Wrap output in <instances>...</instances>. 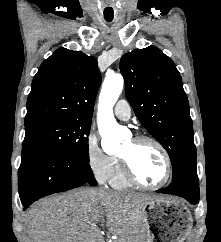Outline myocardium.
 Instances as JSON below:
<instances>
[{
	"instance_id": "1",
	"label": "myocardium",
	"mask_w": 221,
	"mask_h": 242,
	"mask_svg": "<svg viewBox=\"0 0 221 242\" xmlns=\"http://www.w3.org/2000/svg\"><path fill=\"white\" fill-rule=\"evenodd\" d=\"M132 140L135 143H144V142L152 143L160 150L165 160V175L160 182L156 184H147L144 181H142L135 173L130 159L126 156L119 155V158L122 163V167L126 176L133 184L139 187H142L145 189H152V190L161 188L169 181L172 174V160L167 149L159 140L149 135H137Z\"/></svg>"
}]
</instances>
